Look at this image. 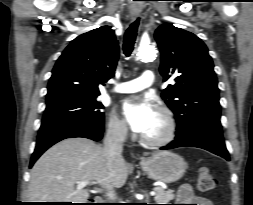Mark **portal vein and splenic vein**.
Here are the masks:
<instances>
[{
    "mask_svg": "<svg viewBox=\"0 0 253 205\" xmlns=\"http://www.w3.org/2000/svg\"><path fill=\"white\" fill-rule=\"evenodd\" d=\"M89 184H90L89 181H86V180H85V181H80V182L77 183L76 188H77V189H82V188L86 187V186L89 185ZM155 194H156L155 191H151V192H150V195H151V196H155Z\"/></svg>",
    "mask_w": 253,
    "mask_h": 205,
    "instance_id": "portal-vein-and-splenic-vein-1",
    "label": "portal vein and splenic vein"
}]
</instances>
